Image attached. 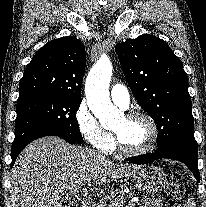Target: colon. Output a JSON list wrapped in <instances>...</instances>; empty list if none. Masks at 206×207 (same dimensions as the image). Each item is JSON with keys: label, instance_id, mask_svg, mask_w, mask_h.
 Returning a JSON list of instances; mask_svg holds the SVG:
<instances>
[{"label": "colon", "instance_id": "1", "mask_svg": "<svg viewBox=\"0 0 206 207\" xmlns=\"http://www.w3.org/2000/svg\"><path fill=\"white\" fill-rule=\"evenodd\" d=\"M183 198V191L179 187H175L169 192L168 205L169 207H181ZM67 207H77L76 204L69 205Z\"/></svg>", "mask_w": 206, "mask_h": 207}]
</instances>
